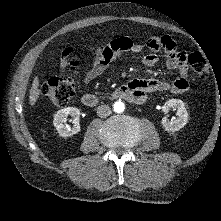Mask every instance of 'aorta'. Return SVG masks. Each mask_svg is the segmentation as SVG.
<instances>
[{
	"label": "aorta",
	"instance_id": "aorta-1",
	"mask_svg": "<svg viewBox=\"0 0 221 221\" xmlns=\"http://www.w3.org/2000/svg\"><path fill=\"white\" fill-rule=\"evenodd\" d=\"M124 109H125V105L121 101H117L114 103V111L115 112L121 113L124 111Z\"/></svg>",
	"mask_w": 221,
	"mask_h": 221
}]
</instances>
